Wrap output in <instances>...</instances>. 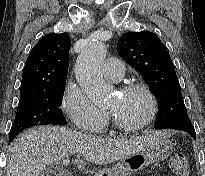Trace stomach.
Listing matches in <instances>:
<instances>
[{"label":"stomach","mask_w":205,"mask_h":176,"mask_svg":"<svg viewBox=\"0 0 205 176\" xmlns=\"http://www.w3.org/2000/svg\"><path fill=\"white\" fill-rule=\"evenodd\" d=\"M173 144L168 139H162L144 151L121 159L113 169L106 170L107 176H127L146 168L148 165L162 161L170 155Z\"/></svg>","instance_id":"obj_1"}]
</instances>
